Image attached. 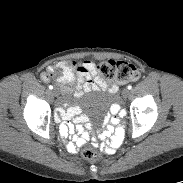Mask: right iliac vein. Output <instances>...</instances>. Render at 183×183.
Masks as SVG:
<instances>
[{
	"instance_id": "obj_1",
	"label": "right iliac vein",
	"mask_w": 183,
	"mask_h": 183,
	"mask_svg": "<svg viewBox=\"0 0 183 183\" xmlns=\"http://www.w3.org/2000/svg\"><path fill=\"white\" fill-rule=\"evenodd\" d=\"M52 93H53V95H54L55 97H58V95H59V91H58L57 89H54V90L52 91Z\"/></svg>"
}]
</instances>
